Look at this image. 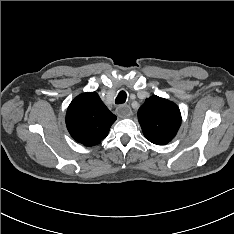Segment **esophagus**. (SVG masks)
Segmentation results:
<instances>
[{"instance_id":"34e87169","label":"esophagus","mask_w":234,"mask_h":234,"mask_svg":"<svg viewBox=\"0 0 234 234\" xmlns=\"http://www.w3.org/2000/svg\"><path fill=\"white\" fill-rule=\"evenodd\" d=\"M116 112L120 117L127 118L132 115V109L129 105H121L116 108Z\"/></svg>"}]
</instances>
